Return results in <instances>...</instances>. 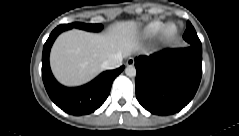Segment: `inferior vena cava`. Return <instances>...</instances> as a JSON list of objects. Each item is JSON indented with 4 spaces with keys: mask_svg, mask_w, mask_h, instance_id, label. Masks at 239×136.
Listing matches in <instances>:
<instances>
[{
    "mask_svg": "<svg viewBox=\"0 0 239 136\" xmlns=\"http://www.w3.org/2000/svg\"><path fill=\"white\" fill-rule=\"evenodd\" d=\"M122 60V55H115L103 63V68L107 70L116 69L122 65Z\"/></svg>",
    "mask_w": 239,
    "mask_h": 136,
    "instance_id": "inferior-vena-cava-1",
    "label": "inferior vena cava"
}]
</instances>
